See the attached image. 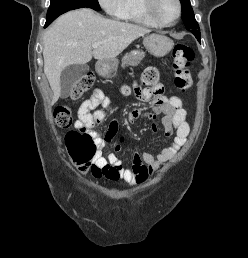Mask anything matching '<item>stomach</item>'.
Here are the masks:
<instances>
[{
  "label": "stomach",
  "instance_id": "obj_1",
  "mask_svg": "<svg viewBox=\"0 0 248 258\" xmlns=\"http://www.w3.org/2000/svg\"><path fill=\"white\" fill-rule=\"evenodd\" d=\"M143 43L147 51L155 57L167 55L174 46V43L170 38L160 34H151L147 36ZM117 66V59L102 60L97 62L96 70L100 75L108 77L116 71Z\"/></svg>",
  "mask_w": 248,
  "mask_h": 258
}]
</instances>
